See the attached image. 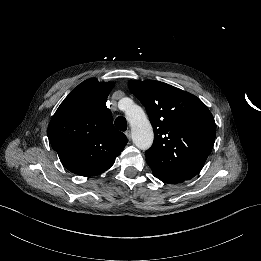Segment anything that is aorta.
I'll use <instances>...</instances> for the list:
<instances>
[{
  "instance_id": "1",
  "label": "aorta",
  "mask_w": 261,
  "mask_h": 261,
  "mask_svg": "<svg viewBox=\"0 0 261 261\" xmlns=\"http://www.w3.org/2000/svg\"><path fill=\"white\" fill-rule=\"evenodd\" d=\"M121 110L131 126L133 144L142 151L150 149L154 141V132L143 108L131 98L125 97L121 100Z\"/></svg>"
}]
</instances>
